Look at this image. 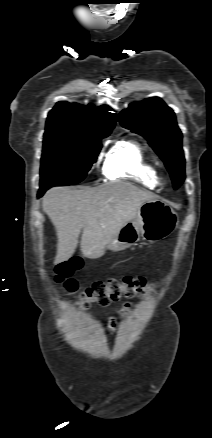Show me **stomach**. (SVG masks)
<instances>
[{
    "label": "stomach",
    "mask_w": 212,
    "mask_h": 438,
    "mask_svg": "<svg viewBox=\"0 0 212 438\" xmlns=\"http://www.w3.org/2000/svg\"><path fill=\"white\" fill-rule=\"evenodd\" d=\"M177 224V214L169 205L161 200L147 201L141 205L136 217L124 224L107 248L121 251L140 238L149 243L161 241L173 233Z\"/></svg>",
    "instance_id": "stomach-1"
}]
</instances>
